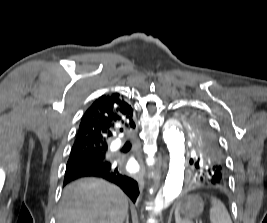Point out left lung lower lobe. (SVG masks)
Masks as SVG:
<instances>
[{
  "mask_svg": "<svg viewBox=\"0 0 267 223\" xmlns=\"http://www.w3.org/2000/svg\"><path fill=\"white\" fill-rule=\"evenodd\" d=\"M193 177H185V182H192L191 189L197 194H217L218 190H226L232 183L228 182V171H191Z\"/></svg>",
  "mask_w": 267,
  "mask_h": 223,
  "instance_id": "left-lung-lower-lobe-1",
  "label": "left lung lower lobe"
}]
</instances>
